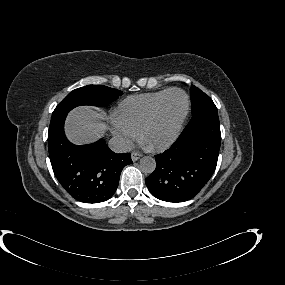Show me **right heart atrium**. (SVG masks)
<instances>
[{
    "label": "right heart atrium",
    "mask_w": 285,
    "mask_h": 285,
    "mask_svg": "<svg viewBox=\"0 0 285 285\" xmlns=\"http://www.w3.org/2000/svg\"><path fill=\"white\" fill-rule=\"evenodd\" d=\"M112 134L118 138L125 145H129L133 139L136 138V134L129 130L126 126L121 124L117 118L112 119Z\"/></svg>",
    "instance_id": "obj_1"
}]
</instances>
